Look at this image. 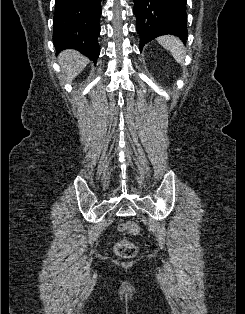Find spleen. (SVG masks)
Masks as SVG:
<instances>
[{
  "label": "spleen",
  "instance_id": "1",
  "mask_svg": "<svg viewBox=\"0 0 245 314\" xmlns=\"http://www.w3.org/2000/svg\"><path fill=\"white\" fill-rule=\"evenodd\" d=\"M157 41L162 47L171 52L172 56L178 63H184V45L177 37L162 36L157 38Z\"/></svg>",
  "mask_w": 245,
  "mask_h": 314
}]
</instances>
